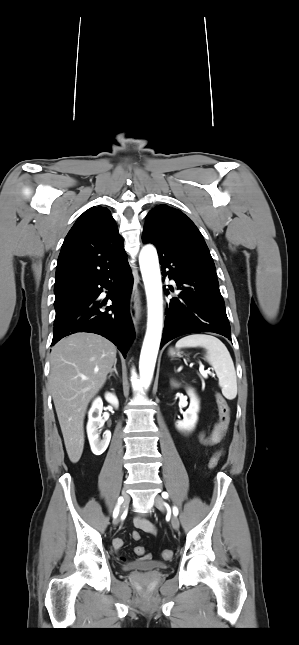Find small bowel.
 I'll return each instance as SVG.
<instances>
[{"label":"small bowel","mask_w":299,"mask_h":645,"mask_svg":"<svg viewBox=\"0 0 299 645\" xmlns=\"http://www.w3.org/2000/svg\"><path fill=\"white\" fill-rule=\"evenodd\" d=\"M221 437H222L221 430H220V427H219V423H217L215 425L214 429L212 430V432L209 435H206L205 433H202L200 435V440L205 445H214V444H216L217 442L220 441ZM134 523H135V526L139 530H142L144 532L151 533V534L155 533L154 525L150 521H148L146 519L136 518ZM123 545H124V541H123L122 538L117 537V538H115L113 540V547L116 550H120L123 547ZM121 559L124 560V557H121ZM149 559H150L149 554L144 555L141 558V560H149Z\"/></svg>","instance_id":"small-bowel-1"}]
</instances>
